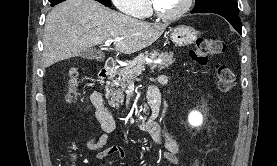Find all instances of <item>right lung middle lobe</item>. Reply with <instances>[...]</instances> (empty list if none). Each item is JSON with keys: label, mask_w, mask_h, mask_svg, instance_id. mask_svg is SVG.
<instances>
[{"label": "right lung middle lobe", "mask_w": 277, "mask_h": 166, "mask_svg": "<svg viewBox=\"0 0 277 166\" xmlns=\"http://www.w3.org/2000/svg\"><path fill=\"white\" fill-rule=\"evenodd\" d=\"M50 2L53 1V0H49ZM96 1H99L100 3H102L103 5L105 6H111V2L110 0H96Z\"/></svg>", "instance_id": "1"}]
</instances>
